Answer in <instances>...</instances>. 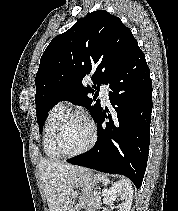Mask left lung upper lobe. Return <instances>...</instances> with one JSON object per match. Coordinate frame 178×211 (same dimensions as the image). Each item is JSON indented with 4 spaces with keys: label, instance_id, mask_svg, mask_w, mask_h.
Wrapping results in <instances>:
<instances>
[{
    "label": "left lung upper lobe",
    "instance_id": "obj_1",
    "mask_svg": "<svg viewBox=\"0 0 178 211\" xmlns=\"http://www.w3.org/2000/svg\"><path fill=\"white\" fill-rule=\"evenodd\" d=\"M137 45L131 30L105 10L89 13L56 36L44 51L35 78L40 132L49 110L61 100L84 106L96 119L102 109L99 101L94 103L100 84L108 83ZM87 79L92 87L83 86Z\"/></svg>",
    "mask_w": 178,
    "mask_h": 211
}]
</instances>
